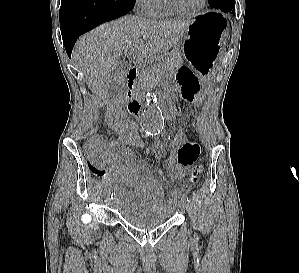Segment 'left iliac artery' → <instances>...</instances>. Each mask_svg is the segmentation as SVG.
Wrapping results in <instances>:
<instances>
[{"instance_id": "obj_1", "label": "left iliac artery", "mask_w": 299, "mask_h": 273, "mask_svg": "<svg viewBox=\"0 0 299 273\" xmlns=\"http://www.w3.org/2000/svg\"><path fill=\"white\" fill-rule=\"evenodd\" d=\"M182 201L189 202V198L187 197V195L182 196Z\"/></svg>"}]
</instances>
